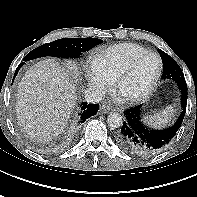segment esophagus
<instances>
[{
    "mask_svg": "<svg viewBox=\"0 0 197 197\" xmlns=\"http://www.w3.org/2000/svg\"><path fill=\"white\" fill-rule=\"evenodd\" d=\"M100 109L103 113H109L110 111L114 110V108L110 104H107V103H103Z\"/></svg>",
    "mask_w": 197,
    "mask_h": 197,
    "instance_id": "34e87169",
    "label": "esophagus"
}]
</instances>
